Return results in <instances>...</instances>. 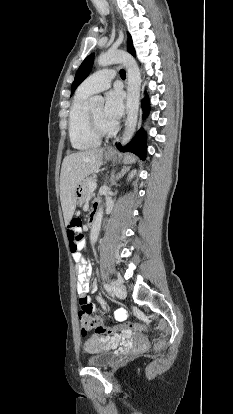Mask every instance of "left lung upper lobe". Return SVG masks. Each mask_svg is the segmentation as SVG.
<instances>
[{
  "instance_id": "1",
  "label": "left lung upper lobe",
  "mask_w": 233,
  "mask_h": 414,
  "mask_svg": "<svg viewBox=\"0 0 233 414\" xmlns=\"http://www.w3.org/2000/svg\"><path fill=\"white\" fill-rule=\"evenodd\" d=\"M127 49L131 55L136 56L130 34H128ZM93 58H94V55L91 54L82 62L81 66L79 67L75 75V79L72 83L71 94H73L74 90L90 73L92 65H93Z\"/></svg>"
}]
</instances>
